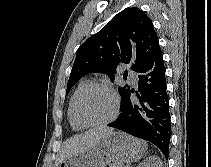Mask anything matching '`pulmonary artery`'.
Here are the masks:
<instances>
[{
  "label": "pulmonary artery",
  "instance_id": "pulmonary-artery-1",
  "mask_svg": "<svg viewBox=\"0 0 211 167\" xmlns=\"http://www.w3.org/2000/svg\"><path fill=\"white\" fill-rule=\"evenodd\" d=\"M137 81H138V79H137L136 75H132V82H133L134 84H136Z\"/></svg>",
  "mask_w": 211,
  "mask_h": 167
}]
</instances>
